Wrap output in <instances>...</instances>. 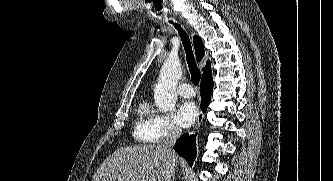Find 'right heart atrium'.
Instances as JSON below:
<instances>
[{
  "label": "right heart atrium",
  "mask_w": 333,
  "mask_h": 181,
  "mask_svg": "<svg viewBox=\"0 0 333 181\" xmlns=\"http://www.w3.org/2000/svg\"><path fill=\"white\" fill-rule=\"evenodd\" d=\"M181 129L169 115H157L154 123V134L158 140L173 138L180 134Z\"/></svg>",
  "instance_id": "right-heart-atrium-1"
}]
</instances>
